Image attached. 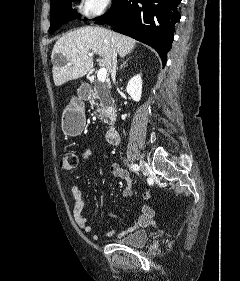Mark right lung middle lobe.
I'll use <instances>...</instances> for the list:
<instances>
[{"label": "right lung middle lobe", "instance_id": "1", "mask_svg": "<svg viewBox=\"0 0 240 281\" xmlns=\"http://www.w3.org/2000/svg\"><path fill=\"white\" fill-rule=\"evenodd\" d=\"M74 0H51L50 3V28L49 33H53L63 24L70 20L76 19V10L72 9ZM116 0L113 1L112 6ZM98 18V17H97ZM96 19V18H95Z\"/></svg>", "mask_w": 240, "mask_h": 281}]
</instances>
